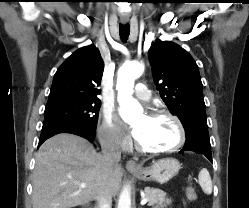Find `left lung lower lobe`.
Returning <instances> with one entry per match:
<instances>
[{
    "label": "left lung lower lobe",
    "instance_id": "1",
    "mask_svg": "<svg viewBox=\"0 0 249 208\" xmlns=\"http://www.w3.org/2000/svg\"><path fill=\"white\" fill-rule=\"evenodd\" d=\"M183 151H193L204 154L212 162L210 139L206 133L195 132L186 137L185 145L180 152Z\"/></svg>",
    "mask_w": 249,
    "mask_h": 208
}]
</instances>
